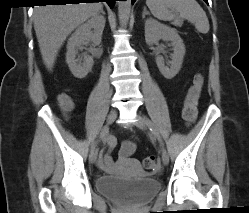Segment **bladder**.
I'll return each mask as SVG.
<instances>
[{
  "instance_id": "31cf9c89",
  "label": "bladder",
  "mask_w": 249,
  "mask_h": 213,
  "mask_svg": "<svg viewBox=\"0 0 249 213\" xmlns=\"http://www.w3.org/2000/svg\"><path fill=\"white\" fill-rule=\"evenodd\" d=\"M96 186L101 194L129 205L143 204L160 190V182L146 175L134 179L101 176L97 179Z\"/></svg>"
}]
</instances>
